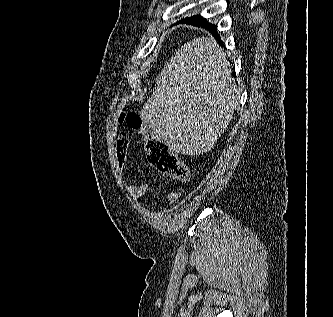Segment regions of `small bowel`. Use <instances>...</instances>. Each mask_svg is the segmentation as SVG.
<instances>
[{
    "label": "small bowel",
    "mask_w": 333,
    "mask_h": 317,
    "mask_svg": "<svg viewBox=\"0 0 333 317\" xmlns=\"http://www.w3.org/2000/svg\"><path fill=\"white\" fill-rule=\"evenodd\" d=\"M130 145V137L126 133H121L117 138L116 143V162L119 169H121L127 160L128 148ZM130 195L137 201L145 195L148 190V184L142 182L138 185H127ZM179 197V193L171 192L166 195V200L169 203L174 202Z\"/></svg>",
    "instance_id": "1"
}]
</instances>
